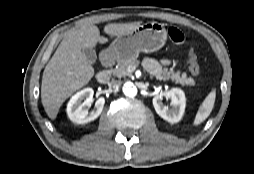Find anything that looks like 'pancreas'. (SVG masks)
Here are the masks:
<instances>
[{"instance_id":"obj_1","label":"pancreas","mask_w":254,"mask_h":174,"mask_svg":"<svg viewBox=\"0 0 254 174\" xmlns=\"http://www.w3.org/2000/svg\"><path fill=\"white\" fill-rule=\"evenodd\" d=\"M139 64V61L134 59H123L119 60L117 63L116 68L111 70V73L118 77H125V76H131L133 69L131 71L128 70L129 67H137ZM156 78L158 80H171L175 82L176 84L180 85H187V86H194L195 81L193 78L188 77L186 73H182L180 71L175 72L173 68H167L164 67L159 74H157Z\"/></svg>"}]
</instances>
